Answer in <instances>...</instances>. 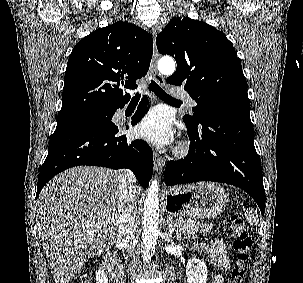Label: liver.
I'll list each match as a JSON object with an SVG mask.
<instances>
[{
    "instance_id": "liver-1",
    "label": "liver",
    "mask_w": 303,
    "mask_h": 283,
    "mask_svg": "<svg viewBox=\"0 0 303 283\" xmlns=\"http://www.w3.org/2000/svg\"><path fill=\"white\" fill-rule=\"evenodd\" d=\"M122 171L78 166L55 176L38 197L44 250L55 283H69L88 258L116 242ZM136 199L142 189L136 184Z\"/></svg>"
}]
</instances>
